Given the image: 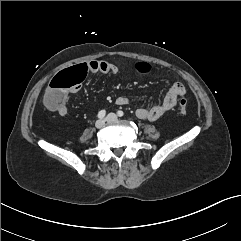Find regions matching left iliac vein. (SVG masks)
Returning a JSON list of instances; mask_svg holds the SVG:
<instances>
[{
	"label": "left iliac vein",
	"instance_id": "obj_1",
	"mask_svg": "<svg viewBox=\"0 0 241 241\" xmlns=\"http://www.w3.org/2000/svg\"><path fill=\"white\" fill-rule=\"evenodd\" d=\"M117 119H118V117L114 113H109L106 117L107 122H115V121H117Z\"/></svg>",
	"mask_w": 241,
	"mask_h": 241
}]
</instances>
